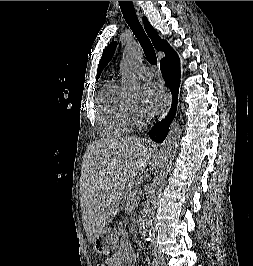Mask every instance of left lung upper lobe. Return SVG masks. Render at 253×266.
<instances>
[{
	"instance_id": "1",
	"label": "left lung upper lobe",
	"mask_w": 253,
	"mask_h": 266,
	"mask_svg": "<svg viewBox=\"0 0 253 266\" xmlns=\"http://www.w3.org/2000/svg\"><path fill=\"white\" fill-rule=\"evenodd\" d=\"M116 42L110 43V45L103 51L102 57L100 59L98 70H97V79L100 77V74L104 67L108 64V62L111 60L112 55L114 54V51L116 49Z\"/></svg>"
}]
</instances>
